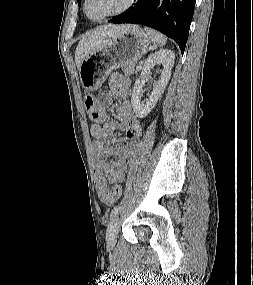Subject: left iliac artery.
<instances>
[{
	"label": "left iliac artery",
	"mask_w": 253,
	"mask_h": 285,
	"mask_svg": "<svg viewBox=\"0 0 253 285\" xmlns=\"http://www.w3.org/2000/svg\"><path fill=\"white\" fill-rule=\"evenodd\" d=\"M120 209H121L120 205L115 206L111 211L110 218L111 219L115 218L118 212L120 211Z\"/></svg>",
	"instance_id": "obj_1"
}]
</instances>
